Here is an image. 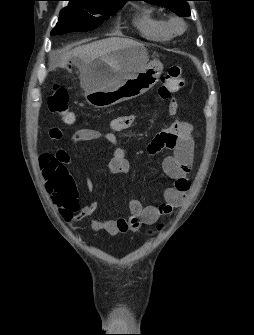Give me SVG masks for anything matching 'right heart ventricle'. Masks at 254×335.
<instances>
[{
	"label": "right heart ventricle",
	"mask_w": 254,
	"mask_h": 335,
	"mask_svg": "<svg viewBox=\"0 0 254 335\" xmlns=\"http://www.w3.org/2000/svg\"><path fill=\"white\" fill-rule=\"evenodd\" d=\"M133 23L140 34L148 40L166 42L172 38V33L167 27V21L148 8L139 10L133 19Z\"/></svg>",
	"instance_id": "e07e8e85"
}]
</instances>
